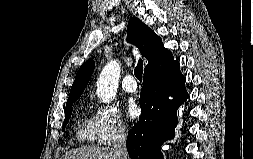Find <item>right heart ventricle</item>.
I'll return each instance as SVG.
<instances>
[{
    "mask_svg": "<svg viewBox=\"0 0 253 159\" xmlns=\"http://www.w3.org/2000/svg\"><path fill=\"white\" fill-rule=\"evenodd\" d=\"M76 138L84 144H95L98 142V133L93 118L83 114L76 128Z\"/></svg>",
    "mask_w": 253,
    "mask_h": 159,
    "instance_id": "1",
    "label": "right heart ventricle"
}]
</instances>
